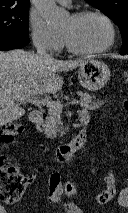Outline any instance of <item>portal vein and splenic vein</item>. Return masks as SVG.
Returning a JSON list of instances; mask_svg holds the SVG:
<instances>
[{
  "instance_id": "portal-vein-and-splenic-vein-1",
  "label": "portal vein and splenic vein",
  "mask_w": 128,
  "mask_h": 213,
  "mask_svg": "<svg viewBox=\"0 0 128 213\" xmlns=\"http://www.w3.org/2000/svg\"><path fill=\"white\" fill-rule=\"evenodd\" d=\"M24 101H29L34 104H40V105L48 107L49 109H54V110H58V111H62L63 106L78 104L77 100H72V101L67 102L65 105H63L58 101H52L50 99H43V98H40L39 96H35V95L26 98Z\"/></svg>"
}]
</instances>
